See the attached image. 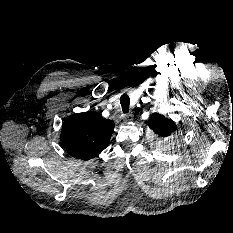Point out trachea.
Returning a JSON list of instances; mask_svg holds the SVG:
<instances>
[{"label": "trachea", "mask_w": 233, "mask_h": 233, "mask_svg": "<svg viewBox=\"0 0 233 233\" xmlns=\"http://www.w3.org/2000/svg\"><path fill=\"white\" fill-rule=\"evenodd\" d=\"M120 103L122 106L123 113H125V114L128 113L129 112V105H130V98L127 94H123L120 97Z\"/></svg>", "instance_id": "3493384b"}]
</instances>
